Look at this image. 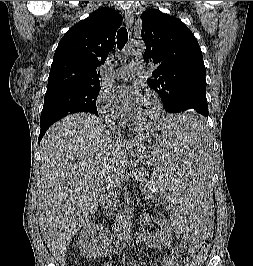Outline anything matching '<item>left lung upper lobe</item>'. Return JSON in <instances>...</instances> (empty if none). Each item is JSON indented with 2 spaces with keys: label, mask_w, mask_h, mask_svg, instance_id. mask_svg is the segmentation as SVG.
I'll return each mask as SVG.
<instances>
[{
  "label": "left lung upper lobe",
  "mask_w": 253,
  "mask_h": 266,
  "mask_svg": "<svg viewBox=\"0 0 253 266\" xmlns=\"http://www.w3.org/2000/svg\"><path fill=\"white\" fill-rule=\"evenodd\" d=\"M144 60L156 70L147 83L163 101L168 113H180L187 106L198 113L193 120L205 121L208 115L205 66L194 34L178 18L157 9L141 14Z\"/></svg>",
  "instance_id": "obj_1"
}]
</instances>
